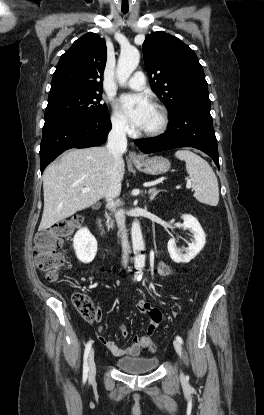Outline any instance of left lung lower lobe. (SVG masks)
I'll return each instance as SVG.
<instances>
[{
    "label": "left lung lower lobe",
    "instance_id": "left-lung-lower-lobe-1",
    "mask_svg": "<svg viewBox=\"0 0 264 415\" xmlns=\"http://www.w3.org/2000/svg\"><path fill=\"white\" fill-rule=\"evenodd\" d=\"M210 104H189L172 116L167 131L157 137L137 139L143 153L179 147H194L209 155L219 169L217 140L210 115Z\"/></svg>",
    "mask_w": 264,
    "mask_h": 415
}]
</instances>
